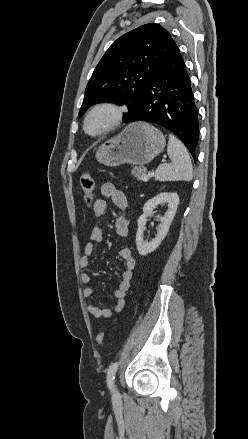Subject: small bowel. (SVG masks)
Instances as JSON below:
<instances>
[{
	"instance_id": "obj_1",
	"label": "small bowel",
	"mask_w": 248,
	"mask_h": 439,
	"mask_svg": "<svg viewBox=\"0 0 248 439\" xmlns=\"http://www.w3.org/2000/svg\"><path fill=\"white\" fill-rule=\"evenodd\" d=\"M101 194L110 198L118 209V216L115 222L116 235L119 238H126L129 234V221L126 218L125 210L127 207V197L125 193L119 190L113 183L107 182L101 186ZM107 210V202L98 198L93 204V212L96 217H101ZM104 237V231L101 226L95 225L91 230L89 241L84 247V254L80 258V267L86 269L90 265V257L95 252V247L97 243L102 242ZM118 256L124 261V269L121 272V280L115 289L114 295L116 298V303L112 309L99 308L94 304H89L87 309L88 312L95 318H109L114 313H119L124 308L125 297L128 289L130 288V283L133 276V271L136 266V261L132 256L131 250L128 247L120 248L118 251ZM80 280L82 284H85L83 288V296L86 298L92 297L94 290L88 284L91 282V277L88 273L83 272L80 275Z\"/></svg>"
}]
</instances>
